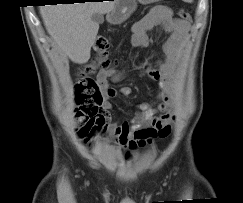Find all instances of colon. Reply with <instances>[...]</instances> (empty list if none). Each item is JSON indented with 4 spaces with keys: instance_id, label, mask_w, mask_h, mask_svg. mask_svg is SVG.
<instances>
[{
    "instance_id": "1",
    "label": "colon",
    "mask_w": 243,
    "mask_h": 203,
    "mask_svg": "<svg viewBox=\"0 0 243 203\" xmlns=\"http://www.w3.org/2000/svg\"><path fill=\"white\" fill-rule=\"evenodd\" d=\"M179 17L189 22L190 14L185 10L179 11ZM110 43L105 37L97 38L94 44V58L91 63L82 66L75 82L77 109L76 119L79 123L78 135L81 139L90 137L91 128L99 107L104 99L102 90L92 74L97 70H108L113 67L115 60L108 57Z\"/></svg>"
}]
</instances>
